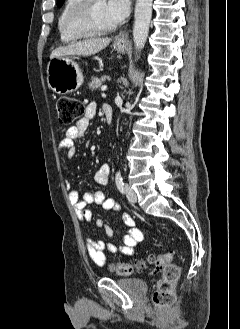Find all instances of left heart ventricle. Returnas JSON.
I'll return each mask as SVG.
<instances>
[{
	"instance_id": "obj_1",
	"label": "left heart ventricle",
	"mask_w": 240,
	"mask_h": 329,
	"mask_svg": "<svg viewBox=\"0 0 240 329\" xmlns=\"http://www.w3.org/2000/svg\"><path fill=\"white\" fill-rule=\"evenodd\" d=\"M92 20L96 26L105 27L115 24L107 12L106 0H95L92 7Z\"/></svg>"
}]
</instances>
